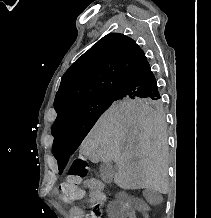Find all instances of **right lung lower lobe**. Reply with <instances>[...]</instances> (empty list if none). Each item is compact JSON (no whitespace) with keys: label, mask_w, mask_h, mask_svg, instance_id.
<instances>
[{"label":"right lung lower lobe","mask_w":211,"mask_h":218,"mask_svg":"<svg viewBox=\"0 0 211 218\" xmlns=\"http://www.w3.org/2000/svg\"><path fill=\"white\" fill-rule=\"evenodd\" d=\"M116 94L121 97H161L148 61L124 81Z\"/></svg>","instance_id":"obj_1"}]
</instances>
